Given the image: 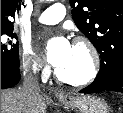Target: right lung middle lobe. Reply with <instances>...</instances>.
Returning <instances> with one entry per match:
<instances>
[{"instance_id": "dd1d6c3e", "label": "right lung middle lobe", "mask_w": 123, "mask_h": 113, "mask_svg": "<svg viewBox=\"0 0 123 113\" xmlns=\"http://www.w3.org/2000/svg\"><path fill=\"white\" fill-rule=\"evenodd\" d=\"M14 38L17 36L13 28L1 29V69L12 71L19 68L18 42L14 43Z\"/></svg>"}]
</instances>
